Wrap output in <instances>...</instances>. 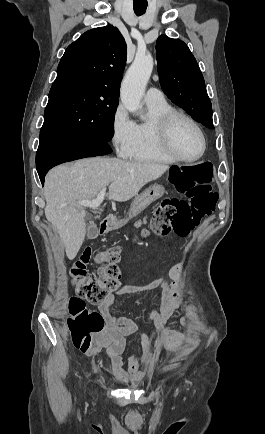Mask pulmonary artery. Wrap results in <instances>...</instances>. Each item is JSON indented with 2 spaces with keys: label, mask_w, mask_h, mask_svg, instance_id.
<instances>
[{
  "label": "pulmonary artery",
  "mask_w": 265,
  "mask_h": 434,
  "mask_svg": "<svg viewBox=\"0 0 265 434\" xmlns=\"http://www.w3.org/2000/svg\"><path fill=\"white\" fill-rule=\"evenodd\" d=\"M166 94L164 91H160L159 87H148L144 95V101L147 104L161 103L164 100Z\"/></svg>",
  "instance_id": "1"
}]
</instances>
